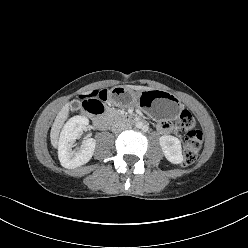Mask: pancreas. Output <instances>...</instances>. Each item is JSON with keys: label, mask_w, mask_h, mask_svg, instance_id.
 Wrapping results in <instances>:
<instances>
[{"label": "pancreas", "mask_w": 248, "mask_h": 248, "mask_svg": "<svg viewBox=\"0 0 248 248\" xmlns=\"http://www.w3.org/2000/svg\"><path fill=\"white\" fill-rule=\"evenodd\" d=\"M109 112L111 113V114H116V110L114 109V108H112V109H109Z\"/></svg>", "instance_id": "obj_1"}]
</instances>
